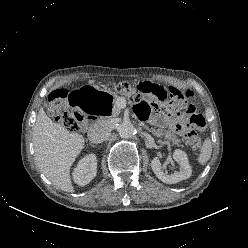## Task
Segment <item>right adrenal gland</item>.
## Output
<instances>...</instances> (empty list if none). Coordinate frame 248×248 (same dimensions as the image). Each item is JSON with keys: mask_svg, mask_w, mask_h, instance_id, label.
I'll list each match as a JSON object with an SVG mask.
<instances>
[{"mask_svg": "<svg viewBox=\"0 0 248 248\" xmlns=\"http://www.w3.org/2000/svg\"><path fill=\"white\" fill-rule=\"evenodd\" d=\"M90 145L95 148V145H93V144H90Z\"/></svg>", "mask_w": 248, "mask_h": 248, "instance_id": "2a0ac1e0", "label": "right adrenal gland"}]
</instances>
